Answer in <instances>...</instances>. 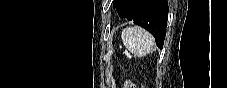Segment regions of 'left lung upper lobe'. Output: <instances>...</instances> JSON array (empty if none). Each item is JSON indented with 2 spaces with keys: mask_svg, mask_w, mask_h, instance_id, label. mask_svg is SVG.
I'll use <instances>...</instances> for the list:
<instances>
[{
  "mask_svg": "<svg viewBox=\"0 0 227 88\" xmlns=\"http://www.w3.org/2000/svg\"><path fill=\"white\" fill-rule=\"evenodd\" d=\"M118 1H119V0H114V2H113L114 8H116V9H117V6H118Z\"/></svg>",
  "mask_w": 227,
  "mask_h": 88,
  "instance_id": "5c2ea615",
  "label": "left lung upper lobe"
}]
</instances>
